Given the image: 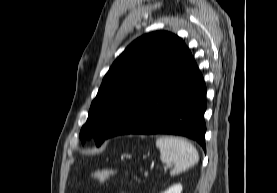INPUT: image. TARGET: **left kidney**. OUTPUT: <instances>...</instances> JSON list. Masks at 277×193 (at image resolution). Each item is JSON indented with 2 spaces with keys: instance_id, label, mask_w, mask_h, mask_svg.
Returning a JSON list of instances; mask_svg holds the SVG:
<instances>
[{
  "instance_id": "obj_1",
  "label": "left kidney",
  "mask_w": 277,
  "mask_h": 193,
  "mask_svg": "<svg viewBox=\"0 0 277 193\" xmlns=\"http://www.w3.org/2000/svg\"><path fill=\"white\" fill-rule=\"evenodd\" d=\"M182 192V185L181 184H175L171 186L168 190L162 192V193H181Z\"/></svg>"
}]
</instances>
